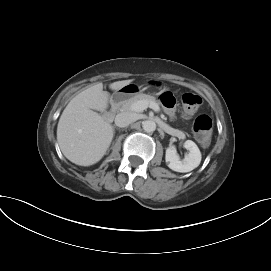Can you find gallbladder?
Returning a JSON list of instances; mask_svg holds the SVG:
<instances>
[{
    "mask_svg": "<svg viewBox=\"0 0 271 271\" xmlns=\"http://www.w3.org/2000/svg\"><path fill=\"white\" fill-rule=\"evenodd\" d=\"M105 113H106L105 111H100V112H99V114H101L102 116H104Z\"/></svg>",
    "mask_w": 271,
    "mask_h": 271,
    "instance_id": "obj_1",
    "label": "gallbladder"
}]
</instances>
